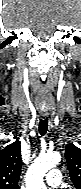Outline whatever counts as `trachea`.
I'll list each match as a JSON object with an SVG mask.
<instances>
[{"label":"trachea","instance_id":"obj_1","mask_svg":"<svg viewBox=\"0 0 81 189\" xmlns=\"http://www.w3.org/2000/svg\"><path fill=\"white\" fill-rule=\"evenodd\" d=\"M48 129V118H41L39 122V133L44 136Z\"/></svg>","mask_w":81,"mask_h":189}]
</instances>
